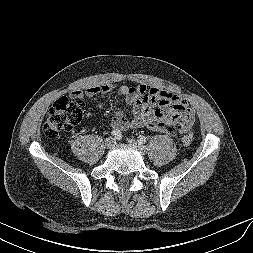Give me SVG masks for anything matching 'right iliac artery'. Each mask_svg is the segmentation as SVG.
Returning a JSON list of instances; mask_svg holds the SVG:
<instances>
[{
	"label": "right iliac artery",
	"instance_id": "obj_1",
	"mask_svg": "<svg viewBox=\"0 0 253 253\" xmlns=\"http://www.w3.org/2000/svg\"><path fill=\"white\" fill-rule=\"evenodd\" d=\"M111 135L116 138H121V136H122L121 131L117 130V129L112 130Z\"/></svg>",
	"mask_w": 253,
	"mask_h": 253
}]
</instances>
